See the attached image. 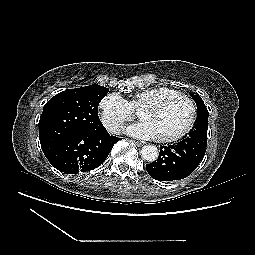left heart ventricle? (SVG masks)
I'll return each instance as SVG.
<instances>
[{"label":"left heart ventricle","instance_id":"b2bd125f","mask_svg":"<svg viewBox=\"0 0 255 255\" xmlns=\"http://www.w3.org/2000/svg\"><path fill=\"white\" fill-rule=\"evenodd\" d=\"M190 115V107L180 99H172L159 107L144 108L139 111L142 120L154 124L158 137L171 135L183 129L187 125Z\"/></svg>","mask_w":255,"mask_h":255}]
</instances>
